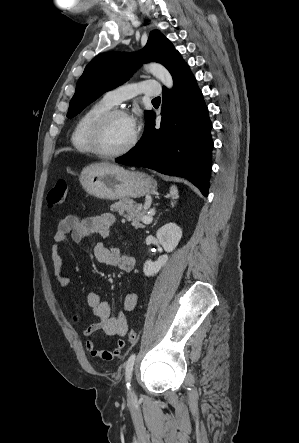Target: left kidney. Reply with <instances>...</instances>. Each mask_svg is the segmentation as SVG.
I'll use <instances>...</instances> for the list:
<instances>
[{
  "label": "left kidney",
  "instance_id": "5707ae66",
  "mask_svg": "<svg viewBox=\"0 0 299 443\" xmlns=\"http://www.w3.org/2000/svg\"><path fill=\"white\" fill-rule=\"evenodd\" d=\"M156 237L159 243L163 246L164 250L167 253L172 252L176 246L178 245L181 237L182 230L175 223H168L162 226L157 232ZM168 255H162L158 258L157 261L153 262L151 260H147L144 263L143 272L146 276L156 275L161 268L167 263Z\"/></svg>",
  "mask_w": 299,
  "mask_h": 443
}]
</instances>
